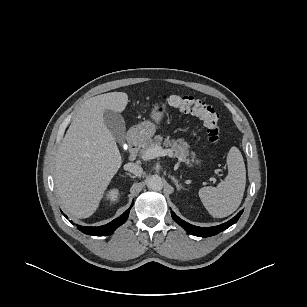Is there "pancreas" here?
Wrapping results in <instances>:
<instances>
[{
	"instance_id": "pancreas-1",
	"label": "pancreas",
	"mask_w": 307,
	"mask_h": 307,
	"mask_svg": "<svg viewBox=\"0 0 307 307\" xmlns=\"http://www.w3.org/2000/svg\"><path fill=\"white\" fill-rule=\"evenodd\" d=\"M163 140V137L161 135H156L153 139H149L148 141L144 142L140 149V155L144 158L145 152L157 145H160ZM163 145L166 147H170L172 152L174 153V156L178 158L181 162L189 163V159L187 158L189 156V146L187 142L184 141V139H177V140H170L169 137H167Z\"/></svg>"
}]
</instances>
